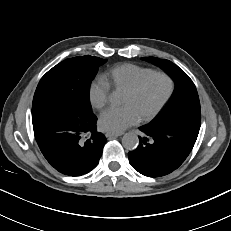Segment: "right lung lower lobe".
I'll list each match as a JSON object with an SVG mask.
<instances>
[{
  "instance_id": "98d812e1",
  "label": "right lung lower lobe",
  "mask_w": 231,
  "mask_h": 231,
  "mask_svg": "<svg viewBox=\"0 0 231 231\" xmlns=\"http://www.w3.org/2000/svg\"><path fill=\"white\" fill-rule=\"evenodd\" d=\"M96 122L95 117L76 121L47 116L34 120L33 129L37 144L52 167L68 176H81L97 166L106 142L104 135L96 131Z\"/></svg>"
}]
</instances>
